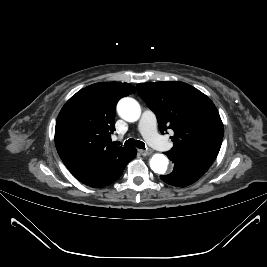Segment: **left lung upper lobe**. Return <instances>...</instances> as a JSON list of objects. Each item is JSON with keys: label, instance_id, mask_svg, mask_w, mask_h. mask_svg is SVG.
Returning <instances> with one entry per match:
<instances>
[{"label": "left lung upper lobe", "instance_id": "obj_1", "mask_svg": "<svg viewBox=\"0 0 267 267\" xmlns=\"http://www.w3.org/2000/svg\"><path fill=\"white\" fill-rule=\"evenodd\" d=\"M139 96L156 114L159 129L174 131L170 151L211 165L223 139V124L213 102L196 88L179 81L141 83Z\"/></svg>", "mask_w": 267, "mask_h": 267}]
</instances>
